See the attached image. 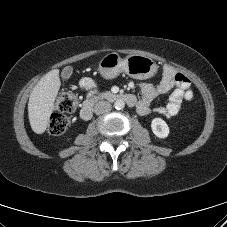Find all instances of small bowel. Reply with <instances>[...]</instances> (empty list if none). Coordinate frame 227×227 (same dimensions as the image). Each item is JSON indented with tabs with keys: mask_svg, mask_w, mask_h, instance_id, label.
Instances as JSON below:
<instances>
[{
	"mask_svg": "<svg viewBox=\"0 0 227 227\" xmlns=\"http://www.w3.org/2000/svg\"><path fill=\"white\" fill-rule=\"evenodd\" d=\"M80 87L86 91H92L96 88V83L88 78L80 82ZM168 102L165 105L156 108V112L167 118L176 116L185 101L193 99V92L190 88V82L186 76L176 73L170 66L163 69V75L160 83L153 86L148 83L140 85L142 98L136 105L137 112L144 116L151 112L152 102L161 94L171 91Z\"/></svg>",
	"mask_w": 227,
	"mask_h": 227,
	"instance_id": "c3829d8e",
	"label": "small bowel"
}]
</instances>
